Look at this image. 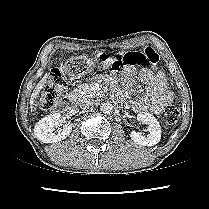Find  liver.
<instances>
[{
	"instance_id": "6515ba94",
	"label": "liver",
	"mask_w": 209,
	"mask_h": 209,
	"mask_svg": "<svg viewBox=\"0 0 209 209\" xmlns=\"http://www.w3.org/2000/svg\"><path fill=\"white\" fill-rule=\"evenodd\" d=\"M50 78V74L46 73L43 78L40 80V82L36 85L30 99V105H31V110H34V103L35 99H37L39 92L42 91V89L45 87V84L47 82V79Z\"/></svg>"
}]
</instances>
